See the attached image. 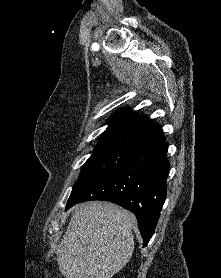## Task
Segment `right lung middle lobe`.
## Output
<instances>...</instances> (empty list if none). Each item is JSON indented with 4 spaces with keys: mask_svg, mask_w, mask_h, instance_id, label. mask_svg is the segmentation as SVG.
Segmentation results:
<instances>
[{
    "mask_svg": "<svg viewBox=\"0 0 221 278\" xmlns=\"http://www.w3.org/2000/svg\"><path fill=\"white\" fill-rule=\"evenodd\" d=\"M134 150L133 146L116 141L99 142L82 167L68 199L66 210L101 178L128 161Z\"/></svg>",
    "mask_w": 221,
    "mask_h": 278,
    "instance_id": "right-lung-middle-lobe-1",
    "label": "right lung middle lobe"
}]
</instances>
